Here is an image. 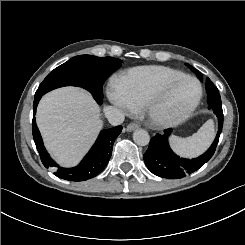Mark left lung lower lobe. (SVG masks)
Wrapping results in <instances>:
<instances>
[{
	"instance_id": "obj_1",
	"label": "left lung lower lobe",
	"mask_w": 245,
	"mask_h": 245,
	"mask_svg": "<svg viewBox=\"0 0 245 245\" xmlns=\"http://www.w3.org/2000/svg\"><path fill=\"white\" fill-rule=\"evenodd\" d=\"M198 78L202 81V75ZM206 91L208 107L214 111L219 123L214 142L203 155L194 159H184L177 156L169 146L168 136L171 129L165 130L163 135L157 134L151 139L143 156L147 168L153 174L167 179H180L201 168L213 156L222 131L223 111L219 91L209 78L206 80Z\"/></svg>"
}]
</instances>
